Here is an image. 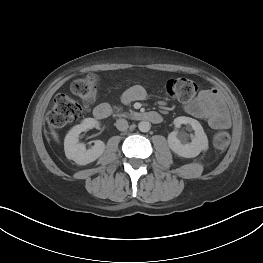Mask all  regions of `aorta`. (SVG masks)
I'll use <instances>...</instances> for the list:
<instances>
[{
    "mask_svg": "<svg viewBox=\"0 0 263 263\" xmlns=\"http://www.w3.org/2000/svg\"><path fill=\"white\" fill-rule=\"evenodd\" d=\"M138 128L141 132H148L151 128V124L148 121H141L138 124Z\"/></svg>",
    "mask_w": 263,
    "mask_h": 263,
    "instance_id": "1",
    "label": "aorta"
}]
</instances>
